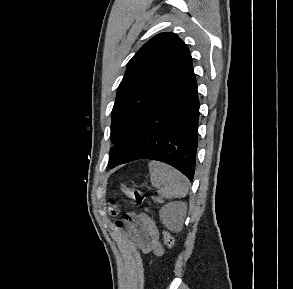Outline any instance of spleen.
Returning a JSON list of instances; mask_svg holds the SVG:
<instances>
[{
  "label": "spleen",
  "instance_id": "obj_1",
  "mask_svg": "<svg viewBox=\"0 0 293 289\" xmlns=\"http://www.w3.org/2000/svg\"><path fill=\"white\" fill-rule=\"evenodd\" d=\"M150 180L158 189V194L167 199L182 198L188 193L186 177L173 167L161 163L150 162Z\"/></svg>",
  "mask_w": 293,
  "mask_h": 289
}]
</instances>
